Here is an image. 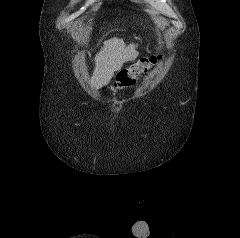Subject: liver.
<instances>
[{
    "label": "liver",
    "instance_id": "obj_1",
    "mask_svg": "<svg viewBox=\"0 0 240 238\" xmlns=\"http://www.w3.org/2000/svg\"><path fill=\"white\" fill-rule=\"evenodd\" d=\"M137 45H126L122 39L111 38L104 42L103 47L95 57V68L90 79L91 87L100 89L109 84L116 71L123 64L134 61L138 56Z\"/></svg>",
    "mask_w": 240,
    "mask_h": 238
}]
</instances>
